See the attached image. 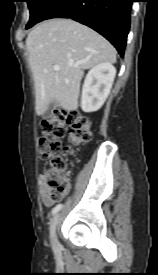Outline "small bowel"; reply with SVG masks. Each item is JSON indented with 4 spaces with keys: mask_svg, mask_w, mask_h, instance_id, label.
I'll list each match as a JSON object with an SVG mask.
<instances>
[{
    "mask_svg": "<svg viewBox=\"0 0 158 275\" xmlns=\"http://www.w3.org/2000/svg\"><path fill=\"white\" fill-rule=\"evenodd\" d=\"M43 203L45 206H51L53 204V201L47 199L45 196L43 197Z\"/></svg>",
    "mask_w": 158,
    "mask_h": 275,
    "instance_id": "small-bowel-1",
    "label": "small bowel"
}]
</instances>
